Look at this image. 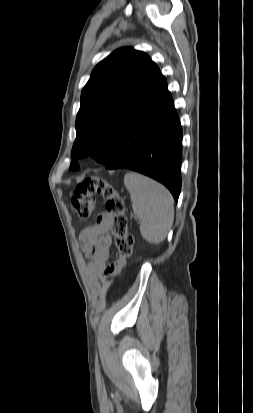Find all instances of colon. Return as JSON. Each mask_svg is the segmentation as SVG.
<instances>
[{
    "mask_svg": "<svg viewBox=\"0 0 253 413\" xmlns=\"http://www.w3.org/2000/svg\"><path fill=\"white\" fill-rule=\"evenodd\" d=\"M95 194L105 200L107 212L112 216V233L120 262L130 259L133 253V237L127 229L124 200L118 190L101 177H86L80 181L71 197V206L79 219H88L95 209Z\"/></svg>",
    "mask_w": 253,
    "mask_h": 413,
    "instance_id": "5ec220e1",
    "label": "colon"
}]
</instances>
